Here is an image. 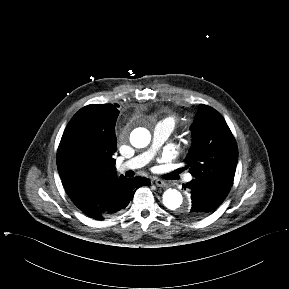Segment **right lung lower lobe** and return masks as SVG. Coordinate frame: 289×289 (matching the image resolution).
<instances>
[{"label":"right lung lower lobe","mask_w":289,"mask_h":289,"mask_svg":"<svg viewBox=\"0 0 289 289\" xmlns=\"http://www.w3.org/2000/svg\"><path fill=\"white\" fill-rule=\"evenodd\" d=\"M149 183L150 180L144 177L125 178L106 193L104 201L97 211L84 213L98 220H103L106 217L114 215L126 208L140 185H148Z\"/></svg>","instance_id":"right-lung-lower-lobe-1"}]
</instances>
